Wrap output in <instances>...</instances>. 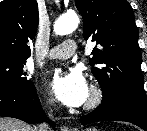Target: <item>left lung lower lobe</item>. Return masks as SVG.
<instances>
[{
  "instance_id": "left-lung-lower-lobe-1",
  "label": "left lung lower lobe",
  "mask_w": 147,
  "mask_h": 131,
  "mask_svg": "<svg viewBox=\"0 0 147 131\" xmlns=\"http://www.w3.org/2000/svg\"><path fill=\"white\" fill-rule=\"evenodd\" d=\"M125 121L147 131V99L124 96L103 103L91 113L80 119L82 125L99 121Z\"/></svg>"
}]
</instances>
